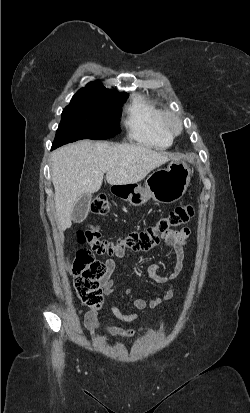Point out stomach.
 Instances as JSON below:
<instances>
[{"mask_svg": "<svg viewBox=\"0 0 250 413\" xmlns=\"http://www.w3.org/2000/svg\"><path fill=\"white\" fill-rule=\"evenodd\" d=\"M191 177L188 164L180 159L172 160L166 170L151 174L145 187L138 183H129L120 186L114 194L127 200L132 206H142L150 198L158 203L169 204L180 200L185 194Z\"/></svg>", "mask_w": 250, "mask_h": 413, "instance_id": "0dacf381", "label": "stomach"}]
</instances>
